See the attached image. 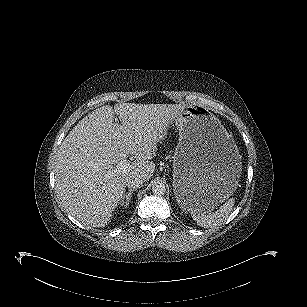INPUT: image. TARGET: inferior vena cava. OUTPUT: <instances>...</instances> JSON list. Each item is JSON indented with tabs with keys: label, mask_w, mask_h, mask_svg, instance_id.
Here are the masks:
<instances>
[{
	"label": "inferior vena cava",
	"mask_w": 307,
	"mask_h": 307,
	"mask_svg": "<svg viewBox=\"0 0 307 307\" xmlns=\"http://www.w3.org/2000/svg\"><path fill=\"white\" fill-rule=\"evenodd\" d=\"M144 180L141 177H132L128 179L126 186L130 189H138L142 186Z\"/></svg>",
	"instance_id": "1"
}]
</instances>
